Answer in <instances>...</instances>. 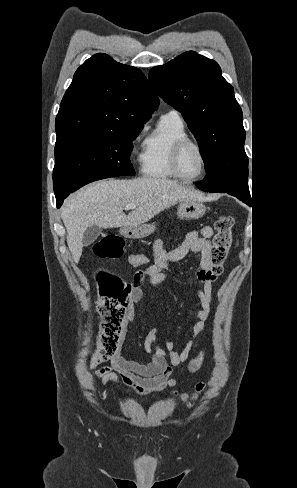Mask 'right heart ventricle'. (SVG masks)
Instances as JSON below:
<instances>
[{
	"label": "right heart ventricle",
	"instance_id": "e07e8e85",
	"mask_svg": "<svg viewBox=\"0 0 297 488\" xmlns=\"http://www.w3.org/2000/svg\"><path fill=\"white\" fill-rule=\"evenodd\" d=\"M185 137L188 135L182 118L177 113L163 115L143 142L141 172L154 179L176 178L170 167V153L175 142Z\"/></svg>",
	"mask_w": 297,
	"mask_h": 488
}]
</instances>
